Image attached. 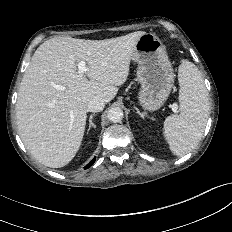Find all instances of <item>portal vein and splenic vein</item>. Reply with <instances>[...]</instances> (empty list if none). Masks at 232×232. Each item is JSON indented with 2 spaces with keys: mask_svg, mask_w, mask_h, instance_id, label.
<instances>
[{
  "mask_svg": "<svg viewBox=\"0 0 232 232\" xmlns=\"http://www.w3.org/2000/svg\"><path fill=\"white\" fill-rule=\"evenodd\" d=\"M77 66H78V73L79 74H84L86 73L89 69L88 67L86 66V62L84 60H81L77 63ZM176 105H173V109H176Z\"/></svg>",
  "mask_w": 232,
  "mask_h": 232,
  "instance_id": "portal-vein-and-splenic-vein-1",
  "label": "portal vein and splenic vein"
}]
</instances>
